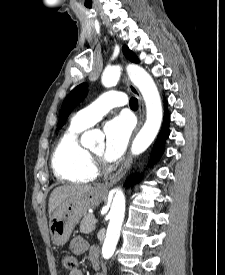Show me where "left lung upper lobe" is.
Instances as JSON below:
<instances>
[{
	"instance_id": "left-lung-upper-lobe-1",
	"label": "left lung upper lobe",
	"mask_w": 225,
	"mask_h": 275,
	"mask_svg": "<svg viewBox=\"0 0 225 275\" xmlns=\"http://www.w3.org/2000/svg\"><path fill=\"white\" fill-rule=\"evenodd\" d=\"M123 52L130 61L135 63L139 62L137 56L132 51H130L127 46L123 47ZM86 93V83L78 85L70 92L62 104L57 129H60L64 125L70 112L84 99Z\"/></svg>"
}]
</instances>
